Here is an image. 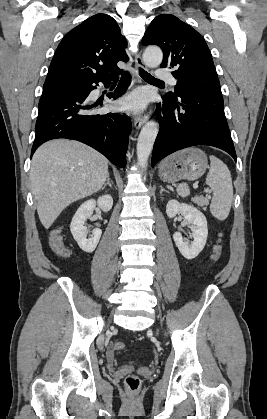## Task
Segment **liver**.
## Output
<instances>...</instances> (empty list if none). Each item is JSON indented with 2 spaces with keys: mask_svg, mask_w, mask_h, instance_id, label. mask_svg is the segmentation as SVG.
Returning a JSON list of instances; mask_svg holds the SVG:
<instances>
[{
  "mask_svg": "<svg viewBox=\"0 0 267 419\" xmlns=\"http://www.w3.org/2000/svg\"><path fill=\"white\" fill-rule=\"evenodd\" d=\"M107 176L108 160L81 142L58 139L40 146L30 180L42 225L48 229L67 206L100 190Z\"/></svg>",
  "mask_w": 267,
  "mask_h": 419,
  "instance_id": "6515ba94",
  "label": "liver"
}]
</instances>
